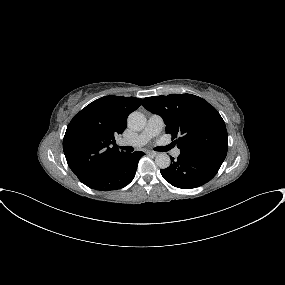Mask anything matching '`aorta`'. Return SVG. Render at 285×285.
<instances>
[{
  "mask_svg": "<svg viewBox=\"0 0 285 285\" xmlns=\"http://www.w3.org/2000/svg\"><path fill=\"white\" fill-rule=\"evenodd\" d=\"M146 117L143 113L134 111L128 117V125L131 129L140 131L146 126ZM156 165L161 169H166L170 166L171 160L166 153H160L155 157Z\"/></svg>",
  "mask_w": 285,
  "mask_h": 285,
  "instance_id": "762f6f07",
  "label": "aorta"
}]
</instances>
